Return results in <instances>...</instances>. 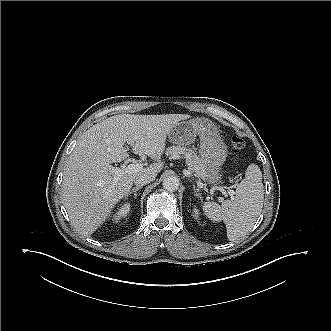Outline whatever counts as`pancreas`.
Returning <instances> with one entry per match:
<instances>
[{"label":"pancreas","instance_id":"obj_1","mask_svg":"<svg viewBox=\"0 0 331 331\" xmlns=\"http://www.w3.org/2000/svg\"><path fill=\"white\" fill-rule=\"evenodd\" d=\"M168 152L172 157L184 158L189 170L194 176L199 177L204 173V168L193 151L185 147L172 146Z\"/></svg>","mask_w":331,"mask_h":331}]
</instances>
